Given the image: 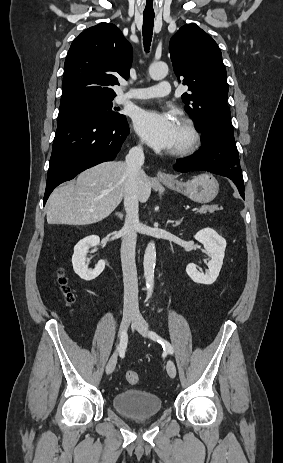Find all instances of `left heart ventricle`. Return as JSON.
<instances>
[{
    "label": "left heart ventricle",
    "instance_id": "1",
    "mask_svg": "<svg viewBox=\"0 0 283 463\" xmlns=\"http://www.w3.org/2000/svg\"><path fill=\"white\" fill-rule=\"evenodd\" d=\"M186 140H187V135L185 131L182 129V127L179 124H177L175 143L172 149H175L181 146L183 143H185Z\"/></svg>",
    "mask_w": 283,
    "mask_h": 463
}]
</instances>
